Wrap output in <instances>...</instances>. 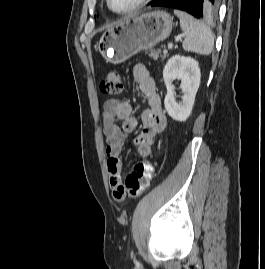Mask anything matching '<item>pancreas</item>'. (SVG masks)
<instances>
[{"label": "pancreas", "instance_id": "1", "mask_svg": "<svg viewBox=\"0 0 265 269\" xmlns=\"http://www.w3.org/2000/svg\"><path fill=\"white\" fill-rule=\"evenodd\" d=\"M149 57H152L153 59L157 60L158 58H162V60L166 59V57H168L167 53H163L161 52V50H151L148 53Z\"/></svg>", "mask_w": 265, "mask_h": 269}]
</instances>
